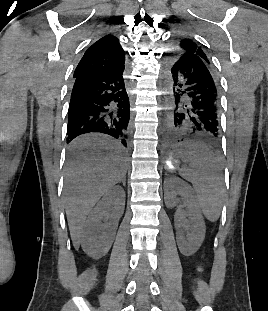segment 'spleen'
I'll return each mask as SVG.
<instances>
[{"label": "spleen", "instance_id": "spleen-1", "mask_svg": "<svg viewBox=\"0 0 268 311\" xmlns=\"http://www.w3.org/2000/svg\"><path fill=\"white\" fill-rule=\"evenodd\" d=\"M189 153L182 156L189 163V169H181L180 175L193 184L196 200L204 216L216 221L221 212L223 184L222 166L216 148L205 140H191Z\"/></svg>", "mask_w": 268, "mask_h": 311}]
</instances>
